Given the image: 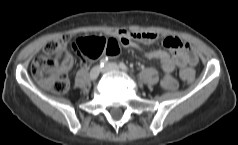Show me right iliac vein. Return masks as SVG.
<instances>
[{
    "label": "right iliac vein",
    "mask_w": 238,
    "mask_h": 145,
    "mask_svg": "<svg viewBox=\"0 0 238 145\" xmlns=\"http://www.w3.org/2000/svg\"><path fill=\"white\" fill-rule=\"evenodd\" d=\"M102 71L101 67L95 66L90 71V79L95 80L99 76L100 72Z\"/></svg>",
    "instance_id": "obj_1"
}]
</instances>
